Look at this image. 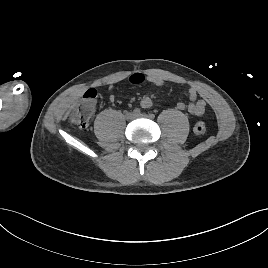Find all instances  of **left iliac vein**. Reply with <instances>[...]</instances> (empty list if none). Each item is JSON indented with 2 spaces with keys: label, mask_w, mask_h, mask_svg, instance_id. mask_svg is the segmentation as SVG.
Instances as JSON below:
<instances>
[{
  "label": "left iliac vein",
  "mask_w": 268,
  "mask_h": 268,
  "mask_svg": "<svg viewBox=\"0 0 268 268\" xmlns=\"http://www.w3.org/2000/svg\"><path fill=\"white\" fill-rule=\"evenodd\" d=\"M136 117L149 118V116H148L147 114H144V113L139 114V115H137Z\"/></svg>",
  "instance_id": "4c4485c4"
}]
</instances>
